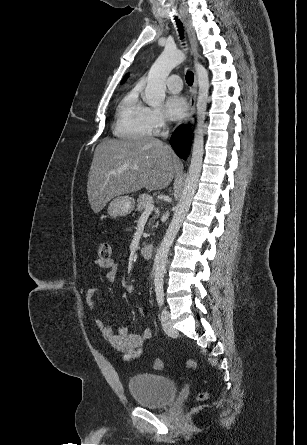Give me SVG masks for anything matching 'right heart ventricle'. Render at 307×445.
<instances>
[{
  "label": "right heart ventricle",
  "instance_id": "1",
  "mask_svg": "<svg viewBox=\"0 0 307 445\" xmlns=\"http://www.w3.org/2000/svg\"><path fill=\"white\" fill-rule=\"evenodd\" d=\"M147 103L140 86H130L123 94L116 112L114 135L129 137L147 134L149 132L145 122ZM135 139L146 140L145 138Z\"/></svg>",
  "mask_w": 307,
  "mask_h": 445
}]
</instances>
